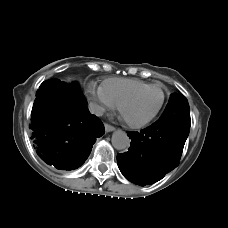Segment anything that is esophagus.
I'll return each mask as SVG.
<instances>
[{
    "label": "esophagus",
    "mask_w": 228,
    "mask_h": 228,
    "mask_svg": "<svg viewBox=\"0 0 228 228\" xmlns=\"http://www.w3.org/2000/svg\"><path fill=\"white\" fill-rule=\"evenodd\" d=\"M115 130V127L114 126H112V125H109V124H105V131L106 132H112V131H114Z\"/></svg>",
    "instance_id": "obj_1"
}]
</instances>
